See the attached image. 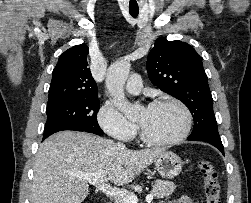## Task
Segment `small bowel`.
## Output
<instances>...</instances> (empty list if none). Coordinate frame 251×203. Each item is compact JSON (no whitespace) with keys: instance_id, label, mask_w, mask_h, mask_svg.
I'll use <instances>...</instances> for the list:
<instances>
[{"instance_id":"obj_1","label":"small bowel","mask_w":251,"mask_h":203,"mask_svg":"<svg viewBox=\"0 0 251 203\" xmlns=\"http://www.w3.org/2000/svg\"><path fill=\"white\" fill-rule=\"evenodd\" d=\"M160 203H165V202H160ZM169 203H193V201L189 197L183 196Z\"/></svg>"}]
</instances>
